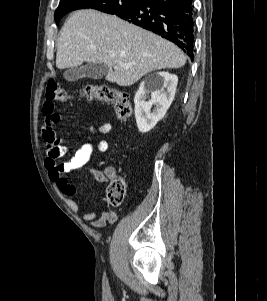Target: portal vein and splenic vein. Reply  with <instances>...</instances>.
<instances>
[{
	"label": "portal vein and splenic vein",
	"instance_id": "obj_1",
	"mask_svg": "<svg viewBox=\"0 0 267 301\" xmlns=\"http://www.w3.org/2000/svg\"><path fill=\"white\" fill-rule=\"evenodd\" d=\"M109 55H110V57H114V53H110ZM119 64H120L121 66H123V67H126V68L129 67V65L124 64V63H121V62H120Z\"/></svg>",
	"mask_w": 267,
	"mask_h": 301
}]
</instances>
